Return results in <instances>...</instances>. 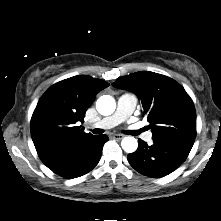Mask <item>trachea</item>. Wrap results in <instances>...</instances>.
<instances>
[{
    "label": "trachea",
    "mask_w": 221,
    "mask_h": 221,
    "mask_svg": "<svg viewBox=\"0 0 221 221\" xmlns=\"http://www.w3.org/2000/svg\"><path fill=\"white\" fill-rule=\"evenodd\" d=\"M142 131H144V129H140V130H138V131H132V135H137V134H139V133L142 132ZM92 132H93L94 134H102V133H103V130H102V129H94V130H92Z\"/></svg>",
    "instance_id": "obj_1"
}]
</instances>
